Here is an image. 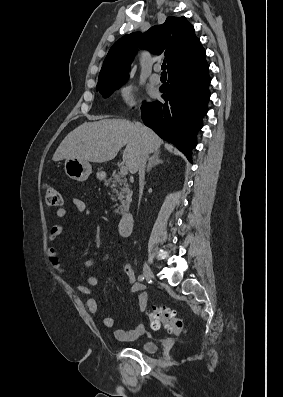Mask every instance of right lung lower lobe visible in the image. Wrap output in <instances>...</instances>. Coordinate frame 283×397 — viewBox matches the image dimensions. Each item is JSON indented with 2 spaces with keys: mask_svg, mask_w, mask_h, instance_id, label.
Instances as JSON below:
<instances>
[{
  "mask_svg": "<svg viewBox=\"0 0 283 397\" xmlns=\"http://www.w3.org/2000/svg\"><path fill=\"white\" fill-rule=\"evenodd\" d=\"M205 57L171 70L168 84L161 91L164 102L141 106L144 124L162 139L173 143L191 161L196 134L202 128V118L208 111L211 78Z\"/></svg>",
  "mask_w": 283,
  "mask_h": 397,
  "instance_id": "1",
  "label": "right lung lower lobe"
}]
</instances>
